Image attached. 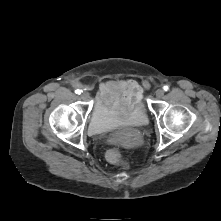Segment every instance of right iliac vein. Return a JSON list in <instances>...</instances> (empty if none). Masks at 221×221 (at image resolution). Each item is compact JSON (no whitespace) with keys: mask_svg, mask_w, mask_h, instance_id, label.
Returning <instances> with one entry per match:
<instances>
[{"mask_svg":"<svg viewBox=\"0 0 221 221\" xmlns=\"http://www.w3.org/2000/svg\"><path fill=\"white\" fill-rule=\"evenodd\" d=\"M80 97L83 100H87L89 98V93L84 91V92L81 93Z\"/></svg>","mask_w":221,"mask_h":221,"instance_id":"1","label":"right iliac vein"}]
</instances>
